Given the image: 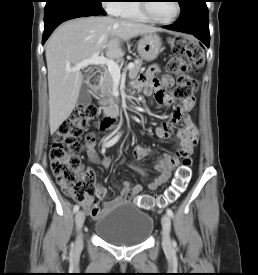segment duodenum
Wrapping results in <instances>:
<instances>
[{
  "mask_svg": "<svg viewBox=\"0 0 258 275\" xmlns=\"http://www.w3.org/2000/svg\"><path fill=\"white\" fill-rule=\"evenodd\" d=\"M102 82V73L99 71L94 72L88 79L89 86L93 90H97L99 85ZM125 104L122 101L116 102L112 105L106 113V118L113 121L115 117L122 113L124 110Z\"/></svg>",
  "mask_w": 258,
  "mask_h": 275,
  "instance_id": "1",
  "label": "duodenum"
}]
</instances>
